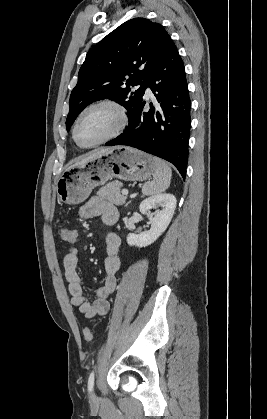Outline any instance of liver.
<instances>
[{
    "label": "liver",
    "instance_id": "obj_1",
    "mask_svg": "<svg viewBox=\"0 0 267 419\" xmlns=\"http://www.w3.org/2000/svg\"><path fill=\"white\" fill-rule=\"evenodd\" d=\"M112 148H101V149H96L94 151H92L88 156H86L85 158H83L82 160H80L79 162H76L73 166H77V165H81L84 164L85 162H87L88 160H91L99 155H102L106 152H108L109 150H111Z\"/></svg>",
    "mask_w": 267,
    "mask_h": 419
}]
</instances>
